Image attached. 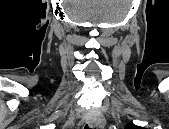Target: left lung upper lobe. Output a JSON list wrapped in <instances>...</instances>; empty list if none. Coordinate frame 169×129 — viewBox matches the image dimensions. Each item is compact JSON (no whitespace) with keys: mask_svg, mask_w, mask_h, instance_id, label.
I'll return each instance as SVG.
<instances>
[{"mask_svg":"<svg viewBox=\"0 0 169 129\" xmlns=\"http://www.w3.org/2000/svg\"><path fill=\"white\" fill-rule=\"evenodd\" d=\"M136 128H139V127H137V126H135V125H133V124H128V125L125 127V129H136Z\"/></svg>","mask_w":169,"mask_h":129,"instance_id":"left-lung-upper-lobe-1","label":"left lung upper lobe"}]
</instances>
